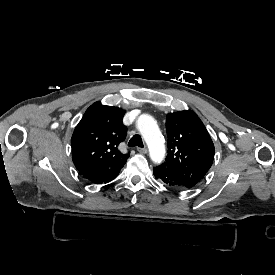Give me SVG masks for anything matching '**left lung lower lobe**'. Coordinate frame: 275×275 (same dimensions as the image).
Returning <instances> with one entry per match:
<instances>
[{
  "instance_id": "left-lung-lower-lobe-1",
  "label": "left lung lower lobe",
  "mask_w": 275,
  "mask_h": 275,
  "mask_svg": "<svg viewBox=\"0 0 275 275\" xmlns=\"http://www.w3.org/2000/svg\"><path fill=\"white\" fill-rule=\"evenodd\" d=\"M153 174L156 179H158L162 184L171 189H187L176 176H174L167 169L163 168L161 165L153 168Z\"/></svg>"
}]
</instances>
